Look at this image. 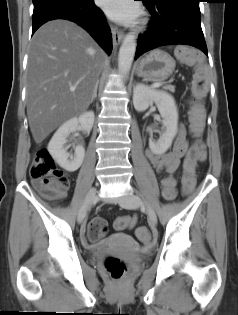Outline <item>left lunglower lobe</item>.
Segmentation results:
<instances>
[{"label": "left lung lower lobe", "mask_w": 238, "mask_h": 315, "mask_svg": "<svg viewBox=\"0 0 238 315\" xmlns=\"http://www.w3.org/2000/svg\"><path fill=\"white\" fill-rule=\"evenodd\" d=\"M152 19L149 30L139 36L136 55L159 46L185 44L208 56L201 29L200 0H143Z\"/></svg>", "instance_id": "0a47b994"}]
</instances>
